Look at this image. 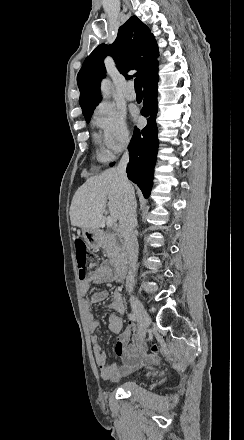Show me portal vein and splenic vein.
<instances>
[{"instance_id":"1","label":"portal vein and splenic vein","mask_w":244,"mask_h":440,"mask_svg":"<svg viewBox=\"0 0 244 440\" xmlns=\"http://www.w3.org/2000/svg\"><path fill=\"white\" fill-rule=\"evenodd\" d=\"M116 220L115 218H111V216H108V218H106V224L108 226V228H112V226H114Z\"/></svg>"}]
</instances>
